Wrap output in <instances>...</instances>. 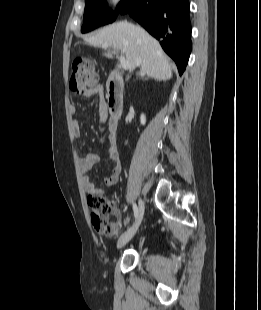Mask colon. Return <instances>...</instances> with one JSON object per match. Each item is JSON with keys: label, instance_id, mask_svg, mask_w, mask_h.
I'll return each instance as SVG.
<instances>
[{"label": "colon", "instance_id": "1", "mask_svg": "<svg viewBox=\"0 0 261 310\" xmlns=\"http://www.w3.org/2000/svg\"><path fill=\"white\" fill-rule=\"evenodd\" d=\"M98 75L92 62L86 57H77L72 62L70 88L75 92L91 89ZM91 210V221L95 230L104 236H113L119 229V221L112 202L102 195H89L87 198Z\"/></svg>", "mask_w": 261, "mask_h": 310}]
</instances>
